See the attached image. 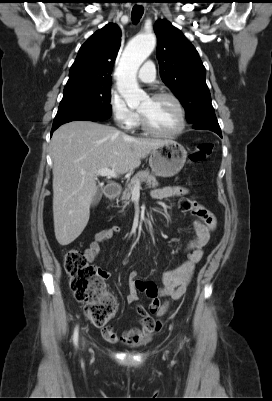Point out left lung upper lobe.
Returning <instances> with one entry per match:
<instances>
[{"label": "left lung upper lobe", "mask_w": 272, "mask_h": 401, "mask_svg": "<svg viewBox=\"0 0 272 401\" xmlns=\"http://www.w3.org/2000/svg\"><path fill=\"white\" fill-rule=\"evenodd\" d=\"M157 35V59L160 76L186 110V119L193 123L200 119L215 118L211 96L206 84V70L197 50L167 20L154 25Z\"/></svg>", "instance_id": "left-lung-upper-lobe-1"}]
</instances>
